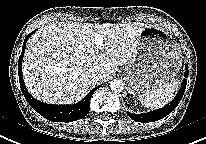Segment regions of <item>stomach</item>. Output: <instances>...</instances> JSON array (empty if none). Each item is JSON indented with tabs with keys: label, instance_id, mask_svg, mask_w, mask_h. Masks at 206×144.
I'll return each instance as SVG.
<instances>
[{
	"label": "stomach",
	"instance_id": "0dacf381",
	"mask_svg": "<svg viewBox=\"0 0 206 144\" xmlns=\"http://www.w3.org/2000/svg\"><path fill=\"white\" fill-rule=\"evenodd\" d=\"M180 48L162 28L146 26L140 34L136 53L125 67L129 92L141 96L160 88L181 67Z\"/></svg>",
	"mask_w": 206,
	"mask_h": 144
}]
</instances>
